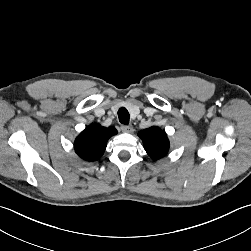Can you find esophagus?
<instances>
[{"mask_svg":"<svg viewBox=\"0 0 251 251\" xmlns=\"http://www.w3.org/2000/svg\"><path fill=\"white\" fill-rule=\"evenodd\" d=\"M121 130L125 133H131L133 131L132 125H122Z\"/></svg>","mask_w":251,"mask_h":251,"instance_id":"1","label":"esophagus"}]
</instances>
